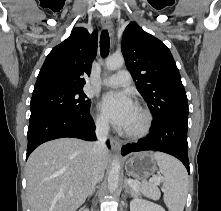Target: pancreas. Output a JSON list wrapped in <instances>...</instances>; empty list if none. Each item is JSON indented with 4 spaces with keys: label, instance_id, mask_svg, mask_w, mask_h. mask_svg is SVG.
<instances>
[{
    "label": "pancreas",
    "instance_id": "pancreas-1",
    "mask_svg": "<svg viewBox=\"0 0 221 211\" xmlns=\"http://www.w3.org/2000/svg\"><path fill=\"white\" fill-rule=\"evenodd\" d=\"M131 193H132L133 196H137L138 195V190L132 188Z\"/></svg>",
    "mask_w": 221,
    "mask_h": 211
}]
</instances>
